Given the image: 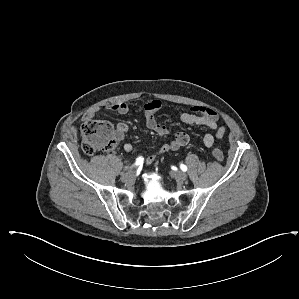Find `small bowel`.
<instances>
[{
  "label": "small bowel",
  "instance_id": "obj_1",
  "mask_svg": "<svg viewBox=\"0 0 299 299\" xmlns=\"http://www.w3.org/2000/svg\"><path fill=\"white\" fill-rule=\"evenodd\" d=\"M162 107L161 101L154 100L144 106V117L146 121V126L148 129L155 132L158 136L164 137L169 133V129L166 125L160 123L156 119V113ZM106 109L119 114H126L129 110L128 105L124 102H116L106 106ZM99 108L89 109L83 116V120H89L96 117L99 114ZM180 119L182 122L190 125H197L209 128L213 133L205 134L203 138L204 145L206 147H211L215 140H220L223 138L226 132L224 126L219 125V115L218 113L211 109L205 107H190L182 110L180 113ZM129 126L125 122H120L116 126V139L121 141L125 134L128 132ZM189 135L185 132H178L175 136L167 143L161 146L159 151L147 157L146 164H151L157 160L161 155L169 151H177L180 148L186 146L189 143ZM125 152H132L133 145L129 142L123 145Z\"/></svg>",
  "mask_w": 299,
  "mask_h": 299
}]
</instances>
